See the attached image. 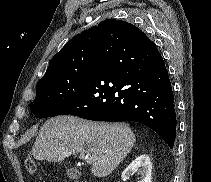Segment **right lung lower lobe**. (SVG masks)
<instances>
[{"label":"right lung lower lobe","mask_w":211,"mask_h":182,"mask_svg":"<svg viewBox=\"0 0 211 182\" xmlns=\"http://www.w3.org/2000/svg\"><path fill=\"white\" fill-rule=\"evenodd\" d=\"M94 121H134L173 148L176 114L163 58L149 38L135 43L121 25L105 29L83 90L58 114Z\"/></svg>","instance_id":"1"}]
</instances>
